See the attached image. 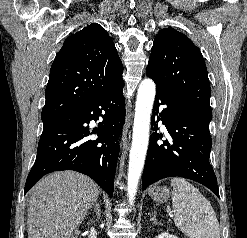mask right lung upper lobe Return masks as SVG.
Returning a JSON list of instances; mask_svg holds the SVG:
<instances>
[{"instance_id": "right-lung-upper-lobe-1", "label": "right lung upper lobe", "mask_w": 247, "mask_h": 238, "mask_svg": "<svg viewBox=\"0 0 247 238\" xmlns=\"http://www.w3.org/2000/svg\"><path fill=\"white\" fill-rule=\"evenodd\" d=\"M123 65L97 23L65 40L51 66L42 121L53 120L106 92L122 79Z\"/></svg>"}]
</instances>
